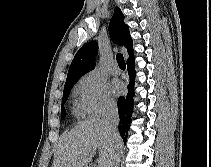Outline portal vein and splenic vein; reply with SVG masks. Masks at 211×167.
Wrapping results in <instances>:
<instances>
[{"label":"portal vein and splenic vein","instance_id":"1","mask_svg":"<svg viewBox=\"0 0 211 167\" xmlns=\"http://www.w3.org/2000/svg\"><path fill=\"white\" fill-rule=\"evenodd\" d=\"M87 157H94V153H90L86 155Z\"/></svg>","mask_w":211,"mask_h":167}]
</instances>
